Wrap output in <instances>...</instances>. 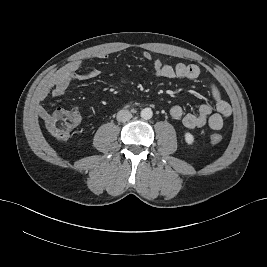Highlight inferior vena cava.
I'll use <instances>...</instances> for the list:
<instances>
[{
  "instance_id": "1",
  "label": "inferior vena cava",
  "mask_w": 267,
  "mask_h": 267,
  "mask_svg": "<svg viewBox=\"0 0 267 267\" xmlns=\"http://www.w3.org/2000/svg\"><path fill=\"white\" fill-rule=\"evenodd\" d=\"M132 118V114L129 110L122 109L117 113V121L126 122Z\"/></svg>"
}]
</instances>
